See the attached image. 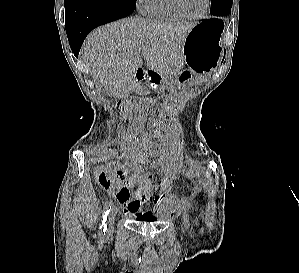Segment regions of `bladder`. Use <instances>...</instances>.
Returning a JSON list of instances; mask_svg holds the SVG:
<instances>
[{"mask_svg": "<svg viewBox=\"0 0 299 273\" xmlns=\"http://www.w3.org/2000/svg\"><path fill=\"white\" fill-rule=\"evenodd\" d=\"M167 210L159 211L155 214V220L152 223H162L167 219Z\"/></svg>", "mask_w": 299, "mask_h": 273, "instance_id": "bladder-1", "label": "bladder"}]
</instances>
